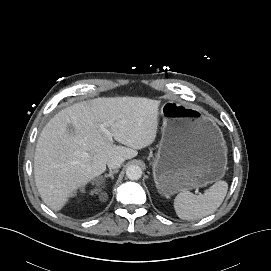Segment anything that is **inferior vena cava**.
Masks as SVG:
<instances>
[{"label":"inferior vena cava","mask_w":271,"mask_h":271,"mask_svg":"<svg viewBox=\"0 0 271 271\" xmlns=\"http://www.w3.org/2000/svg\"><path fill=\"white\" fill-rule=\"evenodd\" d=\"M124 158L120 156H114L111 159L108 160L107 165L108 168L111 169H117L121 166V164L124 162Z\"/></svg>","instance_id":"602c4592"}]
</instances>
